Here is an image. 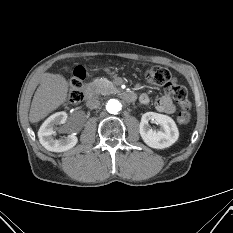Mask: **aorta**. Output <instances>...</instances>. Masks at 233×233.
Instances as JSON below:
<instances>
[{
  "label": "aorta",
  "mask_w": 233,
  "mask_h": 233,
  "mask_svg": "<svg viewBox=\"0 0 233 233\" xmlns=\"http://www.w3.org/2000/svg\"><path fill=\"white\" fill-rule=\"evenodd\" d=\"M106 109L111 114H117L118 112L121 111L122 105H121V103L118 100H116V99H110L107 102Z\"/></svg>",
  "instance_id": "1"
}]
</instances>
